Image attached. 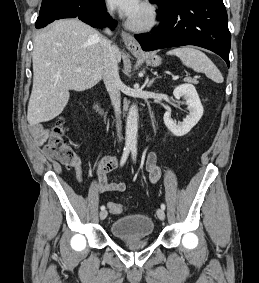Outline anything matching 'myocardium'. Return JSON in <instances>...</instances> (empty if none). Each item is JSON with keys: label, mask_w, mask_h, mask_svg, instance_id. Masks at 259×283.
<instances>
[{"label": "myocardium", "mask_w": 259, "mask_h": 283, "mask_svg": "<svg viewBox=\"0 0 259 283\" xmlns=\"http://www.w3.org/2000/svg\"><path fill=\"white\" fill-rule=\"evenodd\" d=\"M142 7L145 10L146 18L143 22L137 23L129 19L126 23L127 27L134 32H147L152 30L159 22V14L157 8L149 1H144Z\"/></svg>", "instance_id": "f54148a6"}]
</instances>
